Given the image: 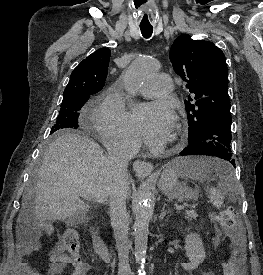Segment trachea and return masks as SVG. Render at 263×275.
Masks as SVG:
<instances>
[{"mask_svg":"<svg viewBox=\"0 0 263 275\" xmlns=\"http://www.w3.org/2000/svg\"><path fill=\"white\" fill-rule=\"evenodd\" d=\"M142 36L144 38H149L151 37L152 33H153V27H140Z\"/></svg>","mask_w":263,"mask_h":275,"instance_id":"trachea-1","label":"trachea"}]
</instances>
